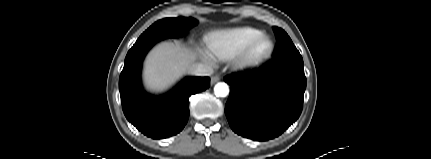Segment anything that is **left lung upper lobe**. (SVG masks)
Returning a JSON list of instances; mask_svg holds the SVG:
<instances>
[{
	"mask_svg": "<svg viewBox=\"0 0 431 159\" xmlns=\"http://www.w3.org/2000/svg\"><path fill=\"white\" fill-rule=\"evenodd\" d=\"M273 29L278 42L274 60H282V59L302 60V57L299 51L294 46L288 34L284 30L278 27H274Z\"/></svg>",
	"mask_w": 431,
	"mask_h": 159,
	"instance_id": "obj_1",
	"label": "left lung upper lobe"
}]
</instances>
